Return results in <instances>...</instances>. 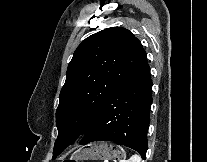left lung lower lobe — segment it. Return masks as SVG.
<instances>
[{
    "instance_id": "1",
    "label": "left lung lower lobe",
    "mask_w": 207,
    "mask_h": 162,
    "mask_svg": "<svg viewBox=\"0 0 207 162\" xmlns=\"http://www.w3.org/2000/svg\"><path fill=\"white\" fill-rule=\"evenodd\" d=\"M151 103L152 81L145 58L104 102L80 143L113 141L134 149L145 160Z\"/></svg>"
}]
</instances>
